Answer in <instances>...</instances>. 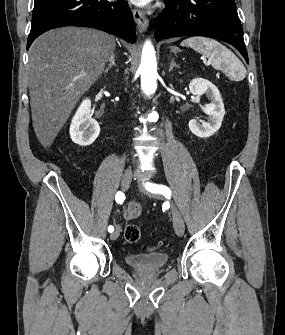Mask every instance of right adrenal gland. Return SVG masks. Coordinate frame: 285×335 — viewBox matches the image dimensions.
Masks as SVG:
<instances>
[{
  "instance_id": "1",
  "label": "right adrenal gland",
  "mask_w": 285,
  "mask_h": 335,
  "mask_svg": "<svg viewBox=\"0 0 285 335\" xmlns=\"http://www.w3.org/2000/svg\"><path fill=\"white\" fill-rule=\"evenodd\" d=\"M109 66L108 68H106V70H104L105 74H107V72H109L110 68H112V66H116L115 64V54H111L110 58H109Z\"/></svg>"
}]
</instances>
